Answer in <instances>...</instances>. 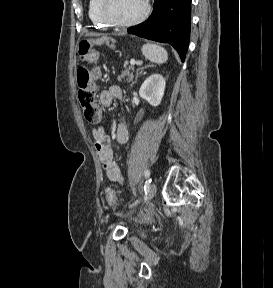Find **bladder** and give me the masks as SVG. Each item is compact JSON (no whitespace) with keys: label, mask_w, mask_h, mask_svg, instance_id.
Listing matches in <instances>:
<instances>
[{"label":"bladder","mask_w":273,"mask_h":288,"mask_svg":"<svg viewBox=\"0 0 273 288\" xmlns=\"http://www.w3.org/2000/svg\"><path fill=\"white\" fill-rule=\"evenodd\" d=\"M140 236H141V237H144L145 235H144V233H140Z\"/></svg>","instance_id":"1"}]
</instances>
